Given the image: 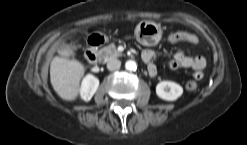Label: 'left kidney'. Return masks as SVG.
Instances as JSON below:
<instances>
[{
	"instance_id": "5707ae66",
	"label": "left kidney",
	"mask_w": 247,
	"mask_h": 145,
	"mask_svg": "<svg viewBox=\"0 0 247 145\" xmlns=\"http://www.w3.org/2000/svg\"><path fill=\"white\" fill-rule=\"evenodd\" d=\"M166 88L170 90L166 91ZM156 94L163 100L175 101L183 94V88L172 81H161L156 86Z\"/></svg>"
}]
</instances>
